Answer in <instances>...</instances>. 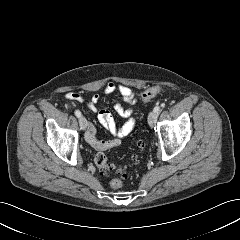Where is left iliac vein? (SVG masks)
I'll return each mask as SVG.
<instances>
[{"instance_id": "left-iliac-vein-1", "label": "left iliac vein", "mask_w": 240, "mask_h": 240, "mask_svg": "<svg viewBox=\"0 0 240 240\" xmlns=\"http://www.w3.org/2000/svg\"><path fill=\"white\" fill-rule=\"evenodd\" d=\"M158 114L154 111L150 112L148 115V124L150 127H154L157 121Z\"/></svg>"}]
</instances>
